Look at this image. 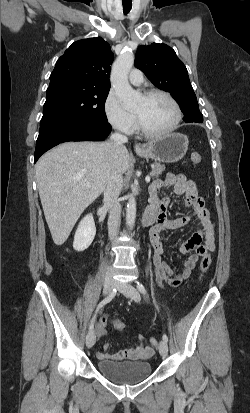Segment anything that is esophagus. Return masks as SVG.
Masks as SVG:
<instances>
[{"mask_svg": "<svg viewBox=\"0 0 250 413\" xmlns=\"http://www.w3.org/2000/svg\"><path fill=\"white\" fill-rule=\"evenodd\" d=\"M134 150L136 152H140V151L144 150V148L140 144H134Z\"/></svg>", "mask_w": 250, "mask_h": 413, "instance_id": "34e87169", "label": "esophagus"}]
</instances>
